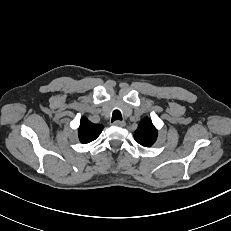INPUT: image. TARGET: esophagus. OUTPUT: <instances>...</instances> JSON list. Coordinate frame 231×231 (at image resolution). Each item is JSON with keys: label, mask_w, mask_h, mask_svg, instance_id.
Wrapping results in <instances>:
<instances>
[{"label": "esophagus", "mask_w": 231, "mask_h": 231, "mask_svg": "<svg viewBox=\"0 0 231 231\" xmlns=\"http://www.w3.org/2000/svg\"><path fill=\"white\" fill-rule=\"evenodd\" d=\"M113 125L117 127H124L126 123L124 121L117 120L113 123Z\"/></svg>", "instance_id": "esophagus-1"}]
</instances>
